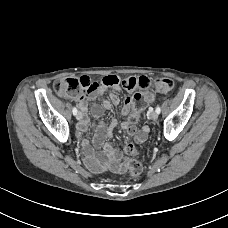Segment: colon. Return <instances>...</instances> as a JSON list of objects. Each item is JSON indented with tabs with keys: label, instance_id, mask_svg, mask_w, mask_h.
<instances>
[{
	"label": "colon",
	"instance_id": "colon-1",
	"mask_svg": "<svg viewBox=\"0 0 228 228\" xmlns=\"http://www.w3.org/2000/svg\"><path fill=\"white\" fill-rule=\"evenodd\" d=\"M119 85L127 90H139L131 98L132 110L129 117L131 123L137 124L139 113L153 99L152 91L167 92L173 87V81L165 77L152 81L146 76L120 79L111 75L96 81H91L88 77L63 78L54 82L53 89L62 97H79L84 92L91 93L102 88ZM124 154L123 169L129 173L131 178H137L142 173L143 167L139 161L133 159L138 156L136 148L132 144H127L124 147Z\"/></svg>",
	"mask_w": 228,
	"mask_h": 228
}]
</instances>
